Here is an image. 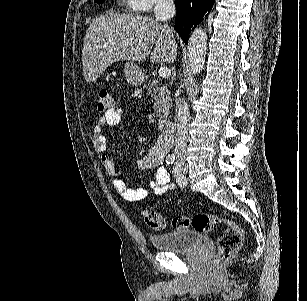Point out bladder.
<instances>
[{"label": "bladder", "instance_id": "1", "mask_svg": "<svg viewBox=\"0 0 307 301\" xmlns=\"http://www.w3.org/2000/svg\"><path fill=\"white\" fill-rule=\"evenodd\" d=\"M203 238L199 232L178 229L163 235H152L155 250L171 253L190 252L201 245Z\"/></svg>", "mask_w": 307, "mask_h": 301}]
</instances>
